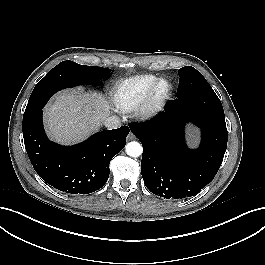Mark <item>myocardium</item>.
Returning <instances> with one entry per match:
<instances>
[{"instance_id": "f54148a6", "label": "myocardium", "mask_w": 265, "mask_h": 265, "mask_svg": "<svg viewBox=\"0 0 265 265\" xmlns=\"http://www.w3.org/2000/svg\"><path fill=\"white\" fill-rule=\"evenodd\" d=\"M162 84H165L166 87L165 89L160 90ZM172 91L173 86L168 79L158 78L137 108V115L142 120H150L159 115L165 109V106L172 95Z\"/></svg>"}]
</instances>
